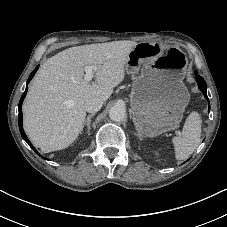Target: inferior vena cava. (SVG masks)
<instances>
[{"label":"inferior vena cava","instance_id":"obj_1","mask_svg":"<svg viewBox=\"0 0 227 227\" xmlns=\"http://www.w3.org/2000/svg\"><path fill=\"white\" fill-rule=\"evenodd\" d=\"M103 102L100 98H91L86 101L85 110L90 113H96L101 109Z\"/></svg>","mask_w":227,"mask_h":227}]
</instances>
